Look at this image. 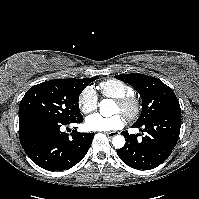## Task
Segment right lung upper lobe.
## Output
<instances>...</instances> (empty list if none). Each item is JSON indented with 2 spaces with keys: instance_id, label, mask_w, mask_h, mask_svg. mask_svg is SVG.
Here are the masks:
<instances>
[{
  "instance_id": "1",
  "label": "right lung upper lobe",
  "mask_w": 199,
  "mask_h": 199,
  "mask_svg": "<svg viewBox=\"0 0 199 199\" xmlns=\"http://www.w3.org/2000/svg\"><path fill=\"white\" fill-rule=\"evenodd\" d=\"M90 78H85L84 80H89Z\"/></svg>"
}]
</instances>
